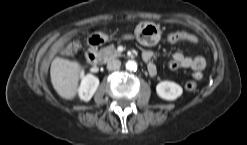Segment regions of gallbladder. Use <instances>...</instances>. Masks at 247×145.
I'll use <instances>...</instances> for the list:
<instances>
[{
    "mask_svg": "<svg viewBox=\"0 0 247 145\" xmlns=\"http://www.w3.org/2000/svg\"><path fill=\"white\" fill-rule=\"evenodd\" d=\"M61 49H62V51H66V52L69 51L68 47H62Z\"/></svg>",
    "mask_w": 247,
    "mask_h": 145,
    "instance_id": "obj_1",
    "label": "gallbladder"
}]
</instances>
